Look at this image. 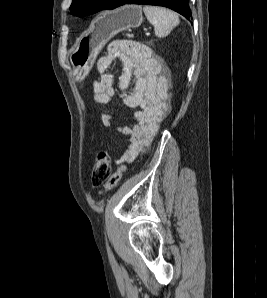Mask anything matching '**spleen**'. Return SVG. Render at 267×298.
<instances>
[{
	"mask_svg": "<svg viewBox=\"0 0 267 298\" xmlns=\"http://www.w3.org/2000/svg\"><path fill=\"white\" fill-rule=\"evenodd\" d=\"M147 20L154 26L157 37L167 36L179 23V17L173 11L157 6H144Z\"/></svg>",
	"mask_w": 267,
	"mask_h": 298,
	"instance_id": "3e777b00",
	"label": "spleen"
}]
</instances>
